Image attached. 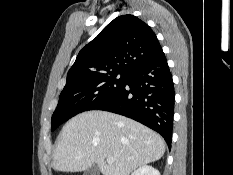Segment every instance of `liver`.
<instances>
[{
  "label": "liver",
  "mask_w": 233,
  "mask_h": 175,
  "mask_svg": "<svg viewBox=\"0 0 233 175\" xmlns=\"http://www.w3.org/2000/svg\"><path fill=\"white\" fill-rule=\"evenodd\" d=\"M163 138L130 118L106 111H87L70 119L59 135L52 168L80 172L97 164L103 175H129L159 160ZM113 158L112 164L105 159Z\"/></svg>",
  "instance_id": "obj_1"
}]
</instances>
